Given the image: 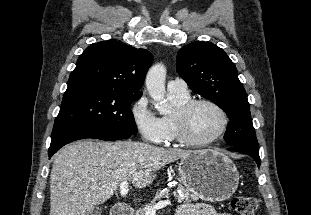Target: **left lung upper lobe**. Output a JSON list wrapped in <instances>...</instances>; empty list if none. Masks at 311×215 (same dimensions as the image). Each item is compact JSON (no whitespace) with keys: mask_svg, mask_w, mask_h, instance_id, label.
I'll return each mask as SVG.
<instances>
[{"mask_svg":"<svg viewBox=\"0 0 311 215\" xmlns=\"http://www.w3.org/2000/svg\"><path fill=\"white\" fill-rule=\"evenodd\" d=\"M176 64L192 91L227 113L230 122L224 135L226 143L258 151L247 94L236 66L223 49L211 42H192L178 51Z\"/></svg>","mask_w":311,"mask_h":215,"instance_id":"5c2ea615","label":"left lung upper lobe"}]
</instances>
